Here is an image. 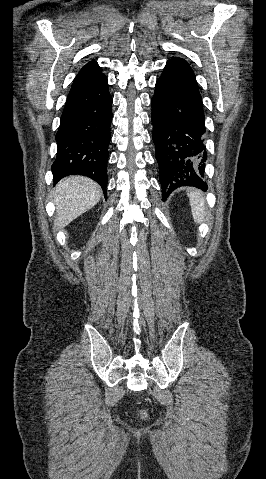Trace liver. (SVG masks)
<instances>
[{
	"mask_svg": "<svg viewBox=\"0 0 266 479\" xmlns=\"http://www.w3.org/2000/svg\"><path fill=\"white\" fill-rule=\"evenodd\" d=\"M99 185L83 176H70L60 181L54 192L56 223L63 228L94 207L101 198Z\"/></svg>",
	"mask_w": 266,
	"mask_h": 479,
	"instance_id": "liver-1",
	"label": "liver"
}]
</instances>
